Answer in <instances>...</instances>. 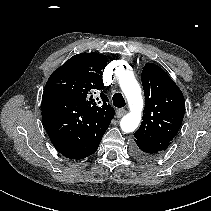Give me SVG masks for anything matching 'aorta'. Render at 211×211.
<instances>
[{
  "label": "aorta",
  "instance_id": "1",
  "mask_svg": "<svg viewBox=\"0 0 211 211\" xmlns=\"http://www.w3.org/2000/svg\"><path fill=\"white\" fill-rule=\"evenodd\" d=\"M119 85L127 98L130 108V112L121 119L120 127L123 132L130 133L136 130L141 121L143 109L141 88L129 71H125L119 76Z\"/></svg>",
  "mask_w": 211,
  "mask_h": 211
}]
</instances>
